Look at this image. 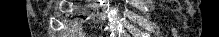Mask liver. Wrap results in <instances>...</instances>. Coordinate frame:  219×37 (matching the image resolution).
<instances>
[{"mask_svg":"<svg viewBox=\"0 0 219 37\" xmlns=\"http://www.w3.org/2000/svg\"><path fill=\"white\" fill-rule=\"evenodd\" d=\"M80 35V34H79ZM73 37H77V36H73ZM78 37H83V36H78Z\"/></svg>","mask_w":219,"mask_h":37,"instance_id":"6515ba94","label":"liver"}]
</instances>
